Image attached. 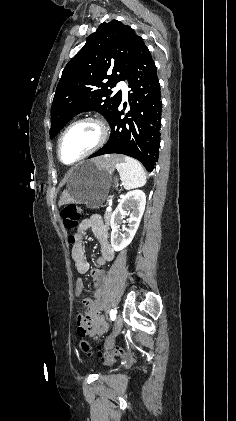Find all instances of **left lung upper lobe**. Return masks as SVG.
<instances>
[{
	"label": "left lung upper lobe",
	"instance_id": "obj_1",
	"mask_svg": "<svg viewBox=\"0 0 236 421\" xmlns=\"http://www.w3.org/2000/svg\"><path fill=\"white\" fill-rule=\"evenodd\" d=\"M142 38L117 20L102 23L62 72L51 106L50 136H55L75 115L95 110L109 122L122 92L110 89L125 80ZM110 73V75H108ZM105 79H108L106 81Z\"/></svg>",
	"mask_w": 236,
	"mask_h": 421
}]
</instances>
